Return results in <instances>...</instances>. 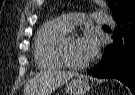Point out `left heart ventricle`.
Here are the masks:
<instances>
[{
  "mask_svg": "<svg viewBox=\"0 0 135 95\" xmlns=\"http://www.w3.org/2000/svg\"><path fill=\"white\" fill-rule=\"evenodd\" d=\"M80 39L77 36H73L68 44H67V55L70 60L77 63L85 62L86 60L83 58L80 46H79Z\"/></svg>",
  "mask_w": 135,
  "mask_h": 95,
  "instance_id": "obj_1",
  "label": "left heart ventricle"
}]
</instances>
